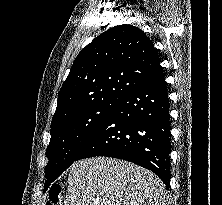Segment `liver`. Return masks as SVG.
<instances>
[{"label":"liver","mask_w":222,"mask_h":205,"mask_svg":"<svg viewBox=\"0 0 222 205\" xmlns=\"http://www.w3.org/2000/svg\"><path fill=\"white\" fill-rule=\"evenodd\" d=\"M165 185L123 160L92 157L73 163L64 205H164Z\"/></svg>","instance_id":"obj_1"}]
</instances>
